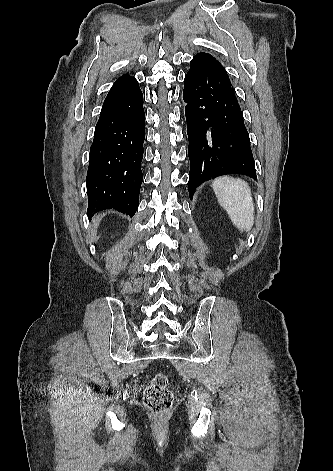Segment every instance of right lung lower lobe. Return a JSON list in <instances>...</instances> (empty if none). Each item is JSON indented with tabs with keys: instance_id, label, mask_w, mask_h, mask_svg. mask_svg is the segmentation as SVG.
I'll return each instance as SVG.
<instances>
[{
	"instance_id": "98d812e1",
	"label": "right lung lower lobe",
	"mask_w": 333,
	"mask_h": 471,
	"mask_svg": "<svg viewBox=\"0 0 333 471\" xmlns=\"http://www.w3.org/2000/svg\"><path fill=\"white\" fill-rule=\"evenodd\" d=\"M144 122L143 94L127 75L113 84L95 127L86 178L88 216L112 208L130 217L137 211Z\"/></svg>"
}]
</instances>
